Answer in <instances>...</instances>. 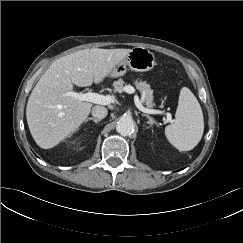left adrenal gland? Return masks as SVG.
Here are the masks:
<instances>
[{
	"label": "left adrenal gland",
	"instance_id": "1",
	"mask_svg": "<svg viewBox=\"0 0 243 243\" xmlns=\"http://www.w3.org/2000/svg\"><path fill=\"white\" fill-rule=\"evenodd\" d=\"M142 116H145L148 119L147 124H149L150 126H152L153 124H157L156 121L151 116L147 114H142Z\"/></svg>",
	"mask_w": 243,
	"mask_h": 243
}]
</instances>
